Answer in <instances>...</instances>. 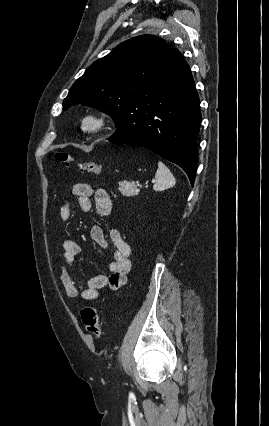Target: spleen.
<instances>
[{"label":"spleen","mask_w":269,"mask_h":426,"mask_svg":"<svg viewBox=\"0 0 269 426\" xmlns=\"http://www.w3.org/2000/svg\"><path fill=\"white\" fill-rule=\"evenodd\" d=\"M175 183V178L170 170L162 162H158V169L155 174V184L153 185V189L155 191H163L174 186Z\"/></svg>","instance_id":"obj_1"}]
</instances>
